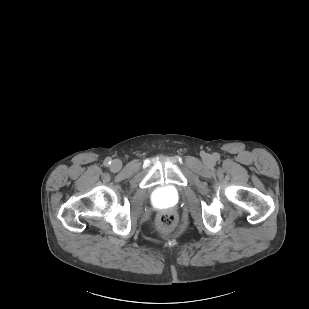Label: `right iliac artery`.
Here are the masks:
<instances>
[{"mask_svg":"<svg viewBox=\"0 0 309 309\" xmlns=\"http://www.w3.org/2000/svg\"><path fill=\"white\" fill-rule=\"evenodd\" d=\"M111 163V160L109 158L105 159V165L108 166Z\"/></svg>","mask_w":309,"mask_h":309,"instance_id":"1","label":"right iliac artery"}]
</instances>
